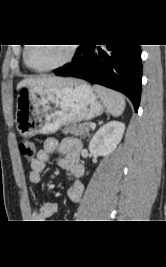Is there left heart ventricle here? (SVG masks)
Listing matches in <instances>:
<instances>
[{
  "label": "left heart ventricle",
  "mask_w": 166,
  "mask_h": 267,
  "mask_svg": "<svg viewBox=\"0 0 166 267\" xmlns=\"http://www.w3.org/2000/svg\"><path fill=\"white\" fill-rule=\"evenodd\" d=\"M68 54L65 44L33 45L28 52L29 63L36 68H45L63 61Z\"/></svg>",
  "instance_id": "obj_1"
}]
</instances>
